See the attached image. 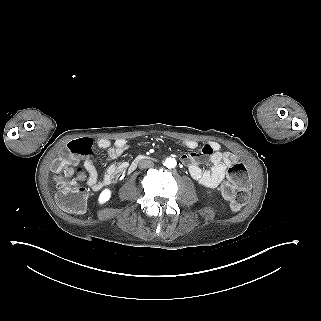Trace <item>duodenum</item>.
Segmentation results:
<instances>
[{"instance_id":"410a0bca","label":"duodenum","mask_w":321,"mask_h":321,"mask_svg":"<svg viewBox=\"0 0 321 321\" xmlns=\"http://www.w3.org/2000/svg\"><path fill=\"white\" fill-rule=\"evenodd\" d=\"M145 159L144 156H138L130 165L129 167V172H132L136 167L137 165L139 164V162L143 161Z\"/></svg>"}]
</instances>
